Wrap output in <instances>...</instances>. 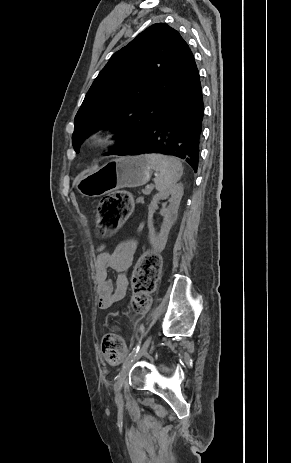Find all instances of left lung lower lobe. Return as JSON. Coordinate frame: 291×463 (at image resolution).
Masks as SVG:
<instances>
[{"instance_id":"left-lung-lower-lobe-1","label":"left lung lower lobe","mask_w":291,"mask_h":463,"mask_svg":"<svg viewBox=\"0 0 291 463\" xmlns=\"http://www.w3.org/2000/svg\"><path fill=\"white\" fill-rule=\"evenodd\" d=\"M204 104L197 72L166 103L137 144L121 154H163L185 160L196 172L199 163Z\"/></svg>"}]
</instances>
